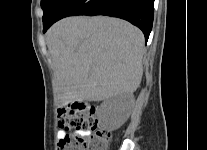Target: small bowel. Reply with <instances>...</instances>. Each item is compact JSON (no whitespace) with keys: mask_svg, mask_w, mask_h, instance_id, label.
I'll return each instance as SVG.
<instances>
[{"mask_svg":"<svg viewBox=\"0 0 207 150\" xmlns=\"http://www.w3.org/2000/svg\"><path fill=\"white\" fill-rule=\"evenodd\" d=\"M87 132L86 131H79V132H75L74 135H86ZM67 135V133L64 130H59L57 133V137L60 139L65 138Z\"/></svg>","mask_w":207,"mask_h":150,"instance_id":"c3829d8e","label":"small bowel"}]
</instances>
